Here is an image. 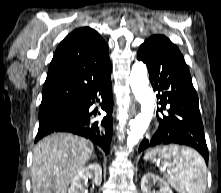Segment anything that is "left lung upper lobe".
I'll list each match as a JSON object with an SVG mask.
<instances>
[{
	"label": "left lung upper lobe",
	"instance_id": "obj_1",
	"mask_svg": "<svg viewBox=\"0 0 221 193\" xmlns=\"http://www.w3.org/2000/svg\"><path fill=\"white\" fill-rule=\"evenodd\" d=\"M145 43H149L161 49L172 51L174 53L182 55L178 48L163 35H153L148 40H146Z\"/></svg>",
	"mask_w": 221,
	"mask_h": 193
}]
</instances>
